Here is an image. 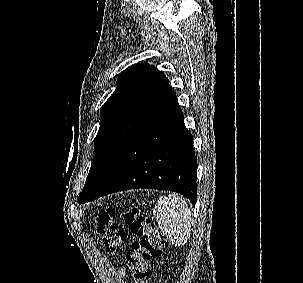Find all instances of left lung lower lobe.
Returning <instances> with one entry per match:
<instances>
[{"mask_svg":"<svg viewBox=\"0 0 303 283\" xmlns=\"http://www.w3.org/2000/svg\"><path fill=\"white\" fill-rule=\"evenodd\" d=\"M196 172L193 138L184 125L176 94L166 81L108 178L97 190L79 195L78 202L151 188L181 193L195 205Z\"/></svg>","mask_w":303,"mask_h":283,"instance_id":"1","label":"left lung lower lobe"}]
</instances>
